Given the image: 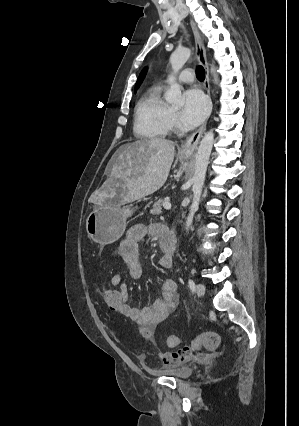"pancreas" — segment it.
<instances>
[{
    "label": "pancreas",
    "mask_w": 299,
    "mask_h": 426,
    "mask_svg": "<svg viewBox=\"0 0 299 426\" xmlns=\"http://www.w3.org/2000/svg\"><path fill=\"white\" fill-rule=\"evenodd\" d=\"M166 201H168L166 198H164V199L160 198L158 201H156L153 204V207L150 210V213L153 214V215H156V214L159 215L162 212V206Z\"/></svg>",
    "instance_id": "obj_1"
}]
</instances>
